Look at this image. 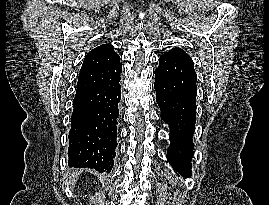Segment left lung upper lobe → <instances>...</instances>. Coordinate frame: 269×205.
<instances>
[{"label":"left lung upper lobe","mask_w":269,"mask_h":205,"mask_svg":"<svg viewBox=\"0 0 269 205\" xmlns=\"http://www.w3.org/2000/svg\"><path fill=\"white\" fill-rule=\"evenodd\" d=\"M166 55H172L176 57H183V58H188L191 59L189 55L185 53L184 50L181 48H172L169 52L165 53Z\"/></svg>","instance_id":"obj_1"}]
</instances>
